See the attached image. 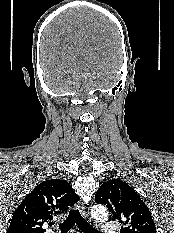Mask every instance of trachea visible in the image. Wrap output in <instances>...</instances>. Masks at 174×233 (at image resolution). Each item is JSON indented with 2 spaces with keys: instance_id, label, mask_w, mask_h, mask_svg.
<instances>
[{
  "instance_id": "3493384b",
  "label": "trachea",
  "mask_w": 174,
  "mask_h": 233,
  "mask_svg": "<svg viewBox=\"0 0 174 233\" xmlns=\"http://www.w3.org/2000/svg\"><path fill=\"white\" fill-rule=\"evenodd\" d=\"M75 224L83 233H100L81 216L77 209H70L68 217L59 225V229L62 233H67Z\"/></svg>"
}]
</instances>
